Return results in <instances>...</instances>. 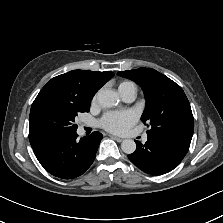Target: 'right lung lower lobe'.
<instances>
[{"label": "right lung lower lobe", "instance_id": "obj_1", "mask_svg": "<svg viewBox=\"0 0 223 223\" xmlns=\"http://www.w3.org/2000/svg\"><path fill=\"white\" fill-rule=\"evenodd\" d=\"M77 136L75 132L33 149L45 170L56 177L72 179L91 166L103 136L99 132H93L79 141Z\"/></svg>", "mask_w": 223, "mask_h": 223}]
</instances>
